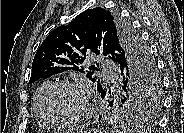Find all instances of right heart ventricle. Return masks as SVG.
Wrapping results in <instances>:
<instances>
[{"label":"right heart ventricle","instance_id":"right-heart-ventricle-1","mask_svg":"<svg viewBox=\"0 0 184 133\" xmlns=\"http://www.w3.org/2000/svg\"><path fill=\"white\" fill-rule=\"evenodd\" d=\"M52 84L51 81H45L43 82L39 88L37 89L35 96H34V101H33V108H34V113L35 116L38 120L39 123H41L44 126H50L51 123L46 119L42 107H41V100L43 97L44 92L46 89Z\"/></svg>","mask_w":184,"mask_h":133}]
</instances>
